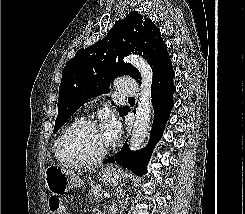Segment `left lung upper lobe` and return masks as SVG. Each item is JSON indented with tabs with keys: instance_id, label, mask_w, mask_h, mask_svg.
<instances>
[{
	"instance_id": "obj_1",
	"label": "left lung upper lobe",
	"mask_w": 245,
	"mask_h": 214,
	"mask_svg": "<svg viewBox=\"0 0 245 214\" xmlns=\"http://www.w3.org/2000/svg\"><path fill=\"white\" fill-rule=\"evenodd\" d=\"M131 53L147 60L152 67L153 82L172 65L160 30L151 19L130 12L114 24L105 38L79 50L66 63L59 87L54 133L87 99L108 93L109 84L116 77L129 75L141 84L137 68L123 61V57ZM128 109L125 106L118 111L123 116Z\"/></svg>"
}]
</instances>
